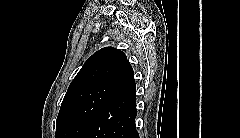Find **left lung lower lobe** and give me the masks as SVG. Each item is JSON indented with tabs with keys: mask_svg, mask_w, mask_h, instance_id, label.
I'll list each match as a JSON object with an SVG mask.
<instances>
[{
	"mask_svg": "<svg viewBox=\"0 0 240 138\" xmlns=\"http://www.w3.org/2000/svg\"><path fill=\"white\" fill-rule=\"evenodd\" d=\"M136 85L131 69L82 138H139L135 129Z\"/></svg>",
	"mask_w": 240,
	"mask_h": 138,
	"instance_id": "left-lung-lower-lobe-1",
	"label": "left lung lower lobe"
}]
</instances>
